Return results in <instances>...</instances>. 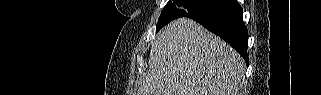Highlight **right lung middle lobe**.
Masks as SVG:
<instances>
[{
    "mask_svg": "<svg viewBox=\"0 0 321 95\" xmlns=\"http://www.w3.org/2000/svg\"><path fill=\"white\" fill-rule=\"evenodd\" d=\"M211 1L212 0H169L158 19L156 32L170 21L179 17H186Z\"/></svg>",
    "mask_w": 321,
    "mask_h": 95,
    "instance_id": "1",
    "label": "right lung middle lobe"
}]
</instances>
